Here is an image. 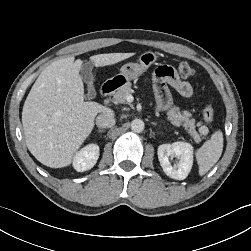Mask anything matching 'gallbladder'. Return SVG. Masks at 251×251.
I'll return each instance as SVG.
<instances>
[{"label":"gallbladder","mask_w":251,"mask_h":251,"mask_svg":"<svg viewBox=\"0 0 251 251\" xmlns=\"http://www.w3.org/2000/svg\"><path fill=\"white\" fill-rule=\"evenodd\" d=\"M92 69H93V63L92 62H86L81 66V77L84 80V82L87 84V88H88V99H92L96 96V90L95 87L93 85V73H92Z\"/></svg>","instance_id":"obj_1"}]
</instances>
